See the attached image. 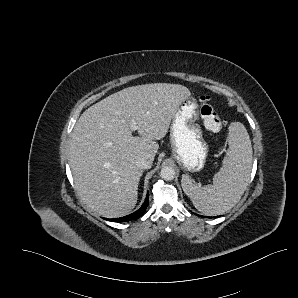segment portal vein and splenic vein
<instances>
[{
    "label": "portal vein and splenic vein",
    "mask_w": 298,
    "mask_h": 298,
    "mask_svg": "<svg viewBox=\"0 0 298 298\" xmlns=\"http://www.w3.org/2000/svg\"><path fill=\"white\" fill-rule=\"evenodd\" d=\"M128 121L130 123L129 133H132L137 129V123L132 116H128Z\"/></svg>",
    "instance_id": "1"
}]
</instances>
